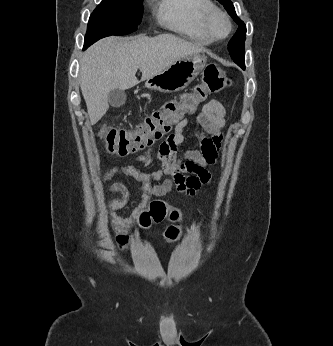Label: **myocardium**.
<instances>
[{
  "mask_svg": "<svg viewBox=\"0 0 333 346\" xmlns=\"http://www.w3.org/2000/svg\"><path fill=\"white\" fill-rule=\"evenodd\" d=\"M216 16L222 17L226 24H227V30L224 35L218 36L215 34L213 27H212V21ZM204 25L206 30L208 31L209 35L211 36L212 39H223L226 38L230 35L232 31V23L229 15L222 10L221 8L217 6H213L205 15L204 17Z\"/></svg>",
  "mask_w": 333,
  "mask_h": 346,
  "instance_id": "1",
  "label": "myocardium"
}]
</instances>
